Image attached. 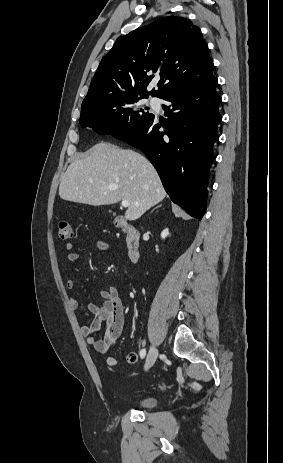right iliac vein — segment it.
<instances>
[{"label": "right iliac vein", "mask_w": 283, "mask_h": 463, "mask_svg": "<svg viewBox=\"0 0 283 463\" xmlns=\"http://www.w3.org/2000/svg\"><path fill=\"white\" fill-rule=\"evenodd\" d=\"M157 356H158V350L153 345V346H151V348H150V350L148 352V355L146 357V362H145V366H144L145 370H148L153 366V364L155 363V361L157 359Z\"/></svg>", "instance_id": "63e3f726"}]
</instances>
